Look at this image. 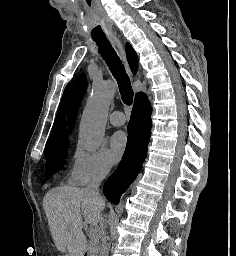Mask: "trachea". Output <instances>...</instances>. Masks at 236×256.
<instances>
[{"instance_id":"3493384b","label":"trachea","mask_w":236,"mask_h":256,"mask_svg":"<svg viewBox=\"0 0 236 256\" xmlns=\"http://www.w3.org/2000/svg\"><path fill=\"white\" fill-rule=\"evenodd\" d=\"M98 45V51L105 60L114 78L117 80L121 98L125 105H131L133 101V90L124 66L107 38L94 40Z\"/></svg>"}]
</instances>
